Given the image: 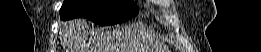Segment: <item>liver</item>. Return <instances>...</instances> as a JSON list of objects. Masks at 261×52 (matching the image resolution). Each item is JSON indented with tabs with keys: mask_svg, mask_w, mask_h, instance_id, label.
Segmentation results:
<instances>
[{
	"mask_svg": "<svg viewBox=\"0 0 261 52\" xmlns=\"http://www.w3.org/2000/svg\"><path fill=\"white\" fill-rule=\"evenodd\" d=\"M89 25L84 19L69 21L64 26V33L69 46L76 52H111L114 35L109 31L96 32L94 37L88 38Z\"/></svg>",
	"mask_w": 261,
	"mask_h": 52,
	"instance_id": "liver-1",
	"label": "liver"
}]
</instances>
